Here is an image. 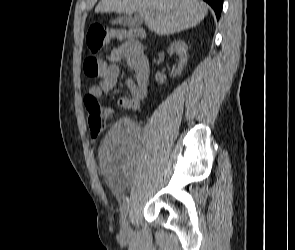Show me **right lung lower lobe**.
<instances>
[{
  "label": "right lung lower lobe",
  "instance_id": "1",
  "mask_svg": "<svg viewBox=\"0 0 295 250\" xmlns=\"http://www.w3.org/2000/svg\"><path fill=\"white\" fill-rule=\"evenodd\" d=\"M204 1L207 2L213 8L217 19H219L221 15L223 0H204Z\"/></svg>",
  "mask_w": 295,
  "mask_h": 250
}]
</instances>
